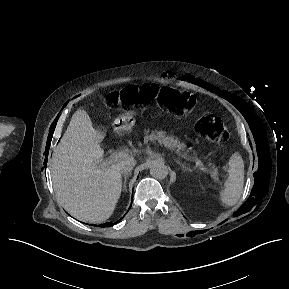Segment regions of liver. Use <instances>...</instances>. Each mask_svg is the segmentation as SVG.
<instances>
[{"mask_svg": "<svg viewBox=\"0 0 289 289\" xmlns=\"http://www.w3.org/2000/svg\"><path fill=\"white\" fill-rule=\"evenodd\" d=\"M97 131L85 110H77L52 155L53 187L59 204L74 218L102 223L114 212L121 194L118 164L102 162Z\"/></svg>", "mask_w": 289, "mask_h": 289, "instance_id": "6515ba94", "label": "liver"}]
</instances>
